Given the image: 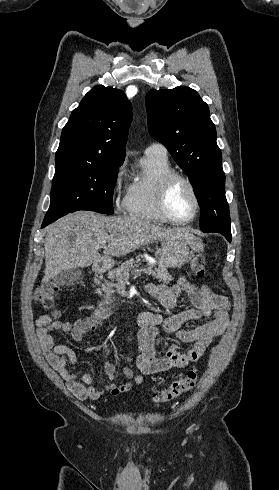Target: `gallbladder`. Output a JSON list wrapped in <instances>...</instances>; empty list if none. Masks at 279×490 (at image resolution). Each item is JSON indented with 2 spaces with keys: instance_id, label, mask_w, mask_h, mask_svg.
I'll return each instance as SVG.
<instances>
[{
  "instance_id": "bac80fb5",
  "label": "gallbladder",
  "mask_w": 279,
  "mask_h": 490,
  "mask_svg": "<svg viewBox=\"0 0 279 490\" xmlns=\"http://www.w3.org/2000/svg\"><path fill=\"white\" fill-rule=\"evenodd\" d=\"M83 278L82 270L79 268H71V270H64L58 276L54 278V284L56 286H76Z\"/></svg>"
}]
</instances>
